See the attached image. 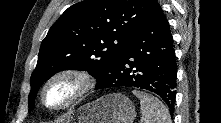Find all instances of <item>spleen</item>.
I'll use <instances>...</instances> for the list:
<instances>
[{
    "instance_id": "3e777b00",
    "label": "spleen",
    "mask_w": 221,
    "mask_h": 123,
    "mask_svg": "<svg viewBox=\"0 0 221 123\" xmlns=\"http://www.w3.org/2000/svg\"><path fill=\"white\" fill-rule=\"evenodd\" d=\"M132 93L140 100L143 123H172L168 108L158 98L139 90Z\"/></svg>"
}]
</instances>
